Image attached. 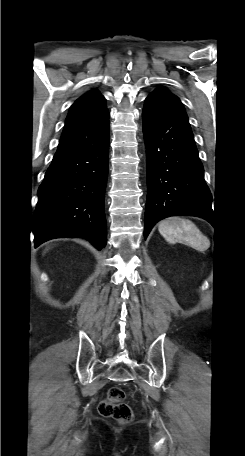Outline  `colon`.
Instances as JSON below:
<instances>
[{
  "instance_id": "1",
  "label": "colon",
  "mask_w": 245,
  "mask_h": 456,
  "mask_svg": "<svg viewBox=\"0 0 245 456\" xmlns=\"http://www.w3.org/2000/svg\"><path fill=\"white\" fill-rule=\"evenodd\" d=\"M124 400V391L119 387H111L107 391L106 397L99 403L98 411L102 416L111 417L118 422H130L133 412Z\"/></svg>"
}]
</instances>
